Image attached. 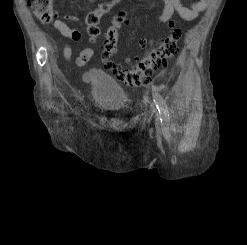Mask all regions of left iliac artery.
<instances>
[{
	"instance_id": "1",
	"label": "left iliac artery",
	"mask_w": 247,
	"mask_h": 245,
	"mask_svg": "<svg viewBox=\"0 0 247 245\" xmlns=\"http://www.w3.org/2000/svg\"><path fill=\"white\" fill-rule=\"evenodd\" d=\"M153 98H154V103L156 104V107L158 109L161 122L165 126L168 125L170 117H169V111H168L167 105L165 103V100L158 93H154Z\"/></svg>"
}]
</instances>
